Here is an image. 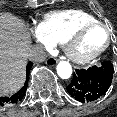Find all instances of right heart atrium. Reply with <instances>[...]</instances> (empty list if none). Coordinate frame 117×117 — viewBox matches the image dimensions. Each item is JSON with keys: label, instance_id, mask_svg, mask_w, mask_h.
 Listing matches in <instances>:
<instances>
[{"label": "right heart atrium", "instance_id": "right-heart-atrium-1", "mask_svg": "<svg viewBox=\"0 0 117 117\" xmlns=\"http://www.w3.org/2000/svg\"><path fill=\"white\" fill-rule=\"evenodd\" d=\"M32 34L34 38L45 48H52L55 41L48 35L46 30L41 24H38L32 28Z\"/></svg>", "mask_w": 117, "mask_h": 117}]
</instances>
